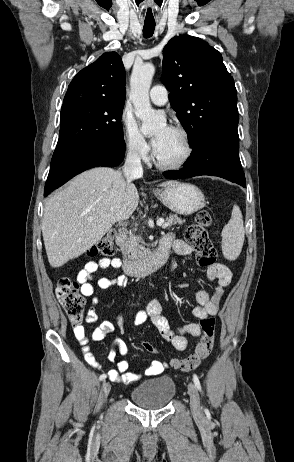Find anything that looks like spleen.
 I'll use <instances>...</instances> for the list:
<instances>
[{
	"mask_svg": "<svg viewBox=\"0 0 294 462\" xmlns=\"http://www.w3.org/2000/svg\"><path fill=\"white\" fill-rule=\"evenodd\" d=\"M244 225L240 208L233 206L231 219L222 230V252L226 259L235 260L241 253L244 243Z\"/></svg>",
	"mask_w": 294,
	"mask_h": 462,
	"instance_id": "spleen-1",
	"label": "spleen"
}]
</instances>
